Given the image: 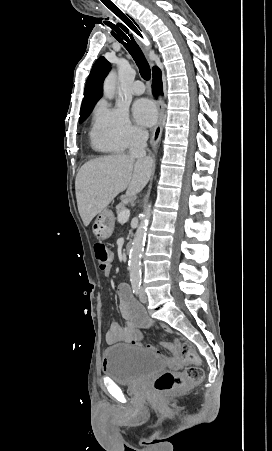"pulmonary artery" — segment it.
Here are the masks:
<instances>
[{
    "mask_svg": "<svg viewBox=\"0 0 272 451\" xmlns=\"http://www.w3.org/2000/svg\"><path fill=\"white\" fill-rule=\"evenodd\" d=\"M144 91L143 81L141 79H136L134 81V86L130 88L129 92L133 95H141Z\"/></svg>",
    "mask_w": 272,
    "mask_h": 451,
    "instance_id": "1",
    "label": "pulmonary artery"
}]
</instances>
